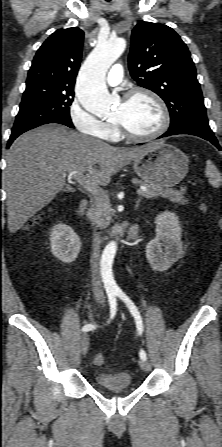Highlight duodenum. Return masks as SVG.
Returning <instances> with one entry per match:
<instances>
[{"label": "duodenum", "mask_w": 222, "mask_h": 447, "mask_svg": "<svg viewBox=\"0 0 222 447\" xmlns=\"http://www.w3.org/2000/svg\"><path fill=\"white\" fill-rule=\"evenodd\" d=\"M86 209H87V201L84 200V201H82V202L79 204V206H78V208H77V210H76L77 215H78V216H83V214L85 213ZM125 227H126L125 225L119 226L118 228H116V231H117V232H122V230H123ZM129 234H130V236H131L132 238H135V237L137 236V229H136L135 226H131V227L129 228Z\"/></svg>", "instance_id": "1"}]
</instances>
